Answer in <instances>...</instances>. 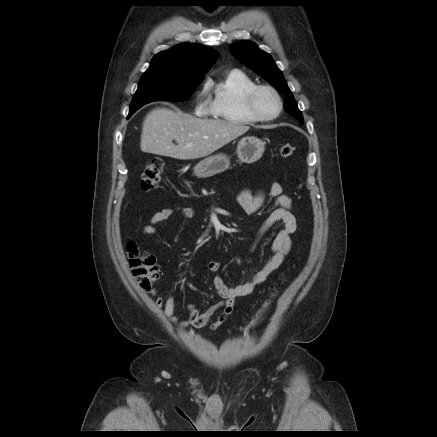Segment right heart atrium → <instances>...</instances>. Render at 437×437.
<instances>
[{
    "instance_id": "obj_1",
    "label": "right heart atrium",
    "mask_w": 437,
    "mask_h": 437,
    "mask_svg": "<svg viewBox=\"0 0 437 437\" xmlns=\"http://www.w3.org/2000/svg\"><path fill=\"white\" fill-rule=\"evenodd\" d=\"M204 96L205 90H202L201 92H199L196 99V112L200 115H205L209 111H211V107L208 106V104L206 103Z\"/></svg>"
}]
</instances>
